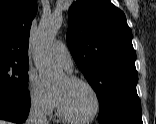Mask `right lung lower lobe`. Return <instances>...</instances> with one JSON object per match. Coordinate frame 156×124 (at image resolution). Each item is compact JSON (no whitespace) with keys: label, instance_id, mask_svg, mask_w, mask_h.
<instances>
[{"label":"right lung lower lobe","instance_id":"right-lung-lower-lobe-1","mask_svg":"<svg viewBox=\"0 0 156 124\" xmlns=\"http://www.w3.org/2000/svg\"><path fill=\"white\" fill-rule=\"evenodd\" d=\"M30 98L0 91V119L22 123L29 114Z\"/></svg>","mask_w":156,"mask_h":124}]
</instances>
